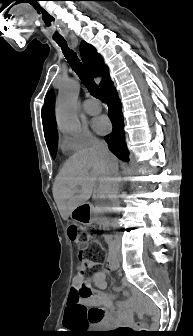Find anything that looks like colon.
<instances>
[{"mask_svg": "<svg viewBox=\"0 0 193 336\" xmlns=\"http://www.w3.org/2000/svg\"><path fill=\"white\" fill-rule=\"evenodd\" d=\"M67 235L70 240H72L78 247L79 257L83 261H97L102 256V248L98 241L91 238L88 242H84L80 239V230L77 225L69 224L67 226ZM82 296L88 297L92 294V291L85 289L82 291ZM138 336H148V332L140 331L137 333Z\"/></svg>", "mask_w": 193, "mask_h": 336, "instance_id": "obj_1", "label": "colon"}]
</instances>
